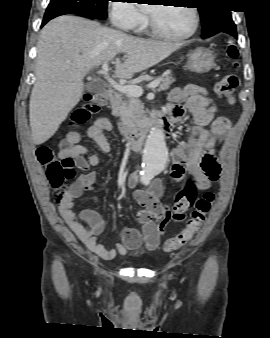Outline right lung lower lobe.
Instances as JSON below:
<instances>
[{"instance_id": "1", "label": "right lung lower lobe", "mask_w": 270, "mask_h": 338, "mask_svg": "<svg viewBox=\"0 0 270 338\" xmlns=\"http://www.w3.org/2000/svg\"><path fill=\"white\" fill-rule=\"evenodd\" d=\"M57 16H60V14L45 15L41 26H44L49 20H51V19H53ZM86 17H88V16H86ZM90 18H93V17H90Z\"/></svg>"}]
</instances>
